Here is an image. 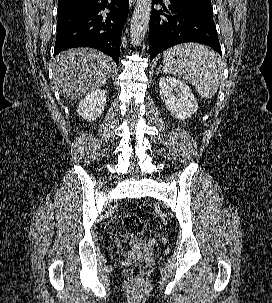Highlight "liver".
I'll return each instance as SVG.
<instances>
[{
	"label": "liver",
	"mask_w": 272,
	"mask_h": 303,
	"mask_svg": "<svg viewBox=\"0 0 272 303\" xmlns=\"http://www.w3.org/2000/svg\"><path fill=\"white\" fill-rule=\"evenodd\" d=\"M115 63L93 48H74L58 54L54 81L66 99H79L105 85Z\"/></svg>",
	"instance_id": "1"
}]
</instances>
